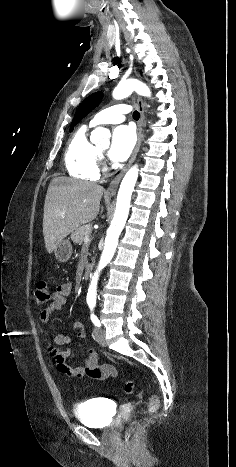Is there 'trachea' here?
<instances>
[{
	"instance_id": "1",
	"label": "trachea",
	"mask_w": 236,
	"mask_h": 467,
	"mask_svg": "<svg viewBox=\"0 0 236 467\" xmlns=\"http://www.w3.org/2000/svg\"><path fill=\"white\" fill-rule=\"evenodd\" d=\"M139 117H140L139 112H138V111H134V113H133V118H134L135 120H138Z\"/></svg>"
}]
</instances>
